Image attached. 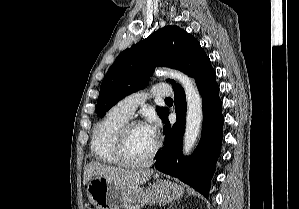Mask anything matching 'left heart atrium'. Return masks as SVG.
<instances>
[{
	"instance_id": "obj_1",
	"label": "left heart atrium",
	"mask_w": 299,
	"mask_h": 209,
	"mask_svg": "<svg viewBox=\"0 0 299 209\" xmlns=\"http://www.w3.org/2000/svg\"><path fill=\"white\" fill-rule=\"evenodd\" d=\"M143 128L153 141L157 140L160 129V122L156 116L151 115L148 118L147 122L143 125Z\"/></svg>"
}]
</instances>
